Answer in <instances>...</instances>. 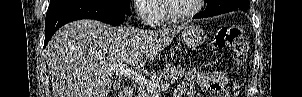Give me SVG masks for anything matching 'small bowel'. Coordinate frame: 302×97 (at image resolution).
<instances>
[{"mask_svg": "<svg viewBox=\"0 0 302 97\" xmlns=\"http://www.w3.org/2000/svg\"><path fill=\"white\" fill-rule=\"evenodd\" d=\"M227 85L228 78L223 72L190 70L177 87L174 97H195L197 88L211 93L215 97H232Z\"/></svg>", "mask_w": 302, "mask_h": 97, "instance_id": "small-bowel-1", "label": "small bowel"}]
</instances>
